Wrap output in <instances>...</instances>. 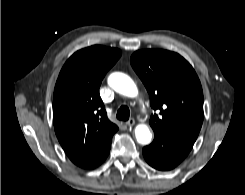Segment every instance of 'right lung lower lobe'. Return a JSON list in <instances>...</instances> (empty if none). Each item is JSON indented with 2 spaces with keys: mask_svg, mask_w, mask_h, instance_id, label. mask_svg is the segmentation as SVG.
<instances>
[{
  "mask_svg": "<svg viewBox=\"0 0 245 195\" xmlns=\"http://www.w3.org/2000/svg\"><path fill=\"white\" fill-rule=\"evenodd\" d=\"M110 146H111V144H110ZM110 146L107 148V150H106V152H105L103 161L107 158V156H108V154H109Z\"/></svg>",
  "mask_w": 245,
  "mask_h": 195,
  "instance_id": "right-lung-lower-lobe-1",
  "label": "right lung lower lobe"
}]
</instances>
